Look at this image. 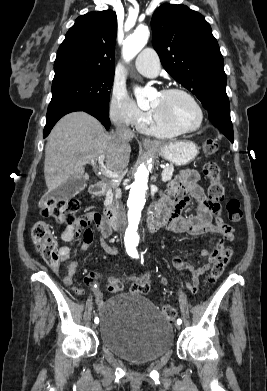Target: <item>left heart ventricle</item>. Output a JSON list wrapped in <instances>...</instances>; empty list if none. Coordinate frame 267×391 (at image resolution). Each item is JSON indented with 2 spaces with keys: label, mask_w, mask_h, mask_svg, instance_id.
Listing matches in <instances>:
<instances>
[{
  "label": "left heart ventricle",
  "mask_w": 267,
  "mask_h": 391,
  "mask_svg": "<svg viewBox=\"0 0 267 391\" xmlns=\"http://www.w3.org/2000/svg\"><path fill=\"white\" fill-rule=\"evenodd\" d=\"M151 107L164 119L181 128H193L199 121V114L194 104L180 94L170 96L158 94Z\"/></svg>",
  "instance_id": "obj_1"
}]
</instances>
